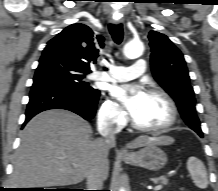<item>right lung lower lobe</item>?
<instances>
[{
	"label": "right lung lower lobe",
	"mask_w": 218,
	"mask_h": 191,
	"mask_svg": "<svg viewBox=\"0 0 218 191\" xmlns=\"http://www.w3.org/2000/svg\"><path fill=\"white\" fill-rule=\"evenodd\" d=\"M100 92L87 94L51 77L34 79L24 125L36 114L49 109L72 111L86 120L94 117Z\"/></svg>",
	"instance_id": "1"
}]
</instances>
